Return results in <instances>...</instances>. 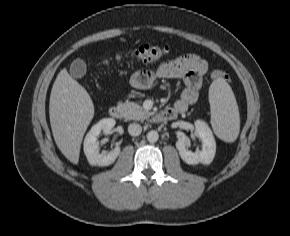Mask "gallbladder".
I'll use <instances>...</instances> for the list:
<instances>
[{
	"label": "gallbladder",
	"mask_w": 290,
	"mask_h": 236,
	"mask_svg": "<svg viewBox=\"0 0 290 236\" xmlns=\"http://www.w3.org/2000/svg\"><path fill=\"white\" fill-rule=\"evenodd\" d=\"M86 73V64L81 59H76L71 63L70 74L74 78H81Z\"/></svg>",
	"instance_id": "1"
}]
</instances>
